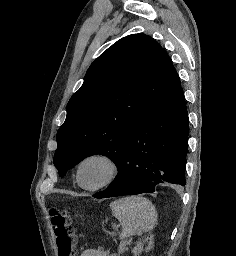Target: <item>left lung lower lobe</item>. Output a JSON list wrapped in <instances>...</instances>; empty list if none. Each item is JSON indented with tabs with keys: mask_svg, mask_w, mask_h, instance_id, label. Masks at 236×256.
<instances>
[{
	"mask_svg": "<svg viewBox=\"0 0 236 256\" xmlns=\"http://www.w3.org/2000/svg\"><path fill=\"white\" fill-rule=\"evenodd\" d=\"M188 129L180 85L137 122L117 167L118 175L106 190L93 197L152 193L163 181L185 185Z\"/></svg>",
	"mask_w": 236,
	"mask_h": 256,
	"instance_id": "obj_1",
	"label": "left lung lower lobe"
}]
</instances>
